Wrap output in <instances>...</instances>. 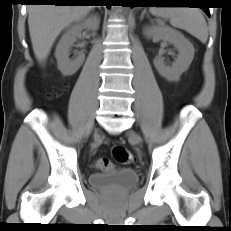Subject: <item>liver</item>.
<instances>
[{"mask_svg": "<svg viewBox=\"0 0 231 231\" xmlns=\"http://www.w3.org/2000/svg\"><path fill=\"white\" fill-rule=\"evenodd\" d=\"M94 6L88 5H31L28 26L36 59H47L52 45L63 29L84 17Z\"/></svg>", "mask_w": 231, "mask_h": 231, "instance_id": "1", "label": "liver"}]
</instances>
